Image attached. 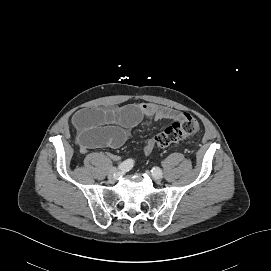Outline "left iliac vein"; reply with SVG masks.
<instances>
[{"instance_id": "obj_1", "label": "left iliac vein", "mask_w": 271, "mask_h": 271, "mask_svg": "<svg viewBox=\"0 0 271 271\" xmlns=\"http://www.w3.org/2000/svg\"><path fill=\"white\" fill-rule=\"evenodd\" d=\"M153 179H154V181H155V182H157V183H158V182H160V181H161L162 176H154V175H153Z\"/></svg>"}]
</instances>
